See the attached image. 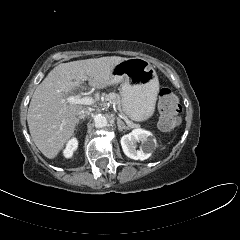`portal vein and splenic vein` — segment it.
<instances>
[{
  "mask_svg": "<svg viewBox=\"0 0 240 240\" xmlns=\"http://www.w3.org/2000/svg\"><path fill=\"white\" fill-rule=\"evenodd\" d=\"M87 76H83V80H86ZM66 101L70 104H83V105H92L95 103V99L92 97H81L80 94L75 95V96H69L67 97ZM121 118L125 120L126 123L131 124V122L127 119V117H122L119 115Z\"/></svg>",
  "mask_w": 240,
  "mask_h": 240,
  "instance_id": "obj_1",
  "label": "portal vein and splenic vein"
}]
</instances>
